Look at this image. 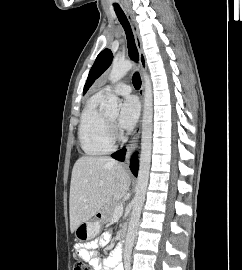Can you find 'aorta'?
Returning <instances> with one entry per match:
<instances>
[{
	"mask_svg": "<svg viewBox=\"0 0 242 270\" xmlns=\"http://www.w3.org/2000/svg\"><path fill=\"white\" fill-rule=\"evenodd\" d=\"M135 64L132 61H118L112 65L109 74V80L112 83L118 82L126 73L134 68ZM144 77V108L142 120V136H141V154L139 159L138 181L136 186V194L133 201L131 218L128 225V232L125 241L124 257L130 259L134 240L137 234L139 219L142 207L145 200V194L149 179V170L151 162V146H152V119H153V95L152 86L149 76L143 73ZM119 99L116 95L110 94L103 108L106 113L118 114Z\"/></svg>",
	"mask_w": 242,
	"mask_h": 270,
	"instance_id": "obj_1",
	"label": "aorta"
}]
</instances>
